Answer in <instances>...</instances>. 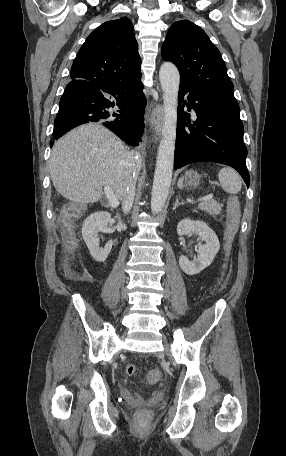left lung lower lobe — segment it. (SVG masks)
<instances>
[{
  "mask_svg": "<svg viewBox=\"0 0 286 456\" xmlns=\"http://www.w3.org/2000/svg\"><path fill=\"white\" fill-rule=\"evenodd\" d=\"M186 93H189L187 111L193 108L197 119L189 125L190 114L183 111L184 105L178 106L174 169L194 162L221 163L236 169L249 187L247 149L243 142L239 107L196 90L184 82H180L179 104L183 102Z\"/></svg>",
  "mask_w": 286,
  "mask_h": 456,
  "instance_id": "0a47b994",
  "label": "left lung lower lobe"
}]
</instances>
